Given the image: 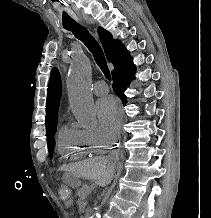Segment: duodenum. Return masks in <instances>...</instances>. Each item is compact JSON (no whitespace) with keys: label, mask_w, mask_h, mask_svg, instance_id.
I'll return each instance as SVG.
<instances>
[{"label":"duodenum","mask_w":211,"mask_h":218,"mask_svg":"<svg viewBox=\"0 0 211 218\" xmlns=\"http://www.w3.org/2000/svg\"><path fill=\"white\" fill-rule=\"evenodd\" d=\"M91 215H92V210L91 209H86L84 211L85 218H90Z\"/></svg>","instance_id":"obj_1"}]
</instances>
